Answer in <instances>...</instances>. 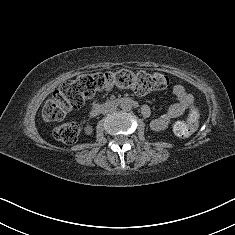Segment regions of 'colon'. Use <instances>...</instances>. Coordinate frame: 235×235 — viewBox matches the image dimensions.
<instances>
[{"label": "colon", "instance_id": "colon-1", "mask_svg": "<svg viewBox=\"0 0 235 235\" xmlns=\"http://www.w3.org/2000/svg\"><path fill=\"white\" fill-rule=\"evenodd\" d=\"M168 78L158 72L133 73L122 69L118 71L94 72L81 74L63 83L44 104L42 115L45 120L59 121L65 115L78 109L86 100L96 93L112 87L133 89L139 94L162 90L167 87ZM198 112L195 107L190 108L189 121L175 125V133L179 136L189 135L195 128ZM54 136L67 144L75 142L79 135V127L73 121H67L54 127Z\"/></svg>", "mask_w": 235, "mask_h": 235}]
</instances>
